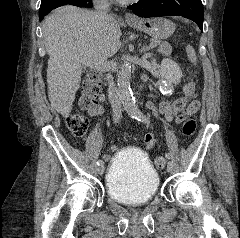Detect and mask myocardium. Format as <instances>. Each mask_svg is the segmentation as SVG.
<instances>
[{
  "label": "myocardium",
  "instance_id": "f54148a6",
  "mask_svg": "<svg viewBox=\"0 0 240 238\" xmlns=\"http://www.w3.org/2000/svg\"><path fill=\"white\" fill-rule=\"evenodd\" d=\"M139 0H123V2H126V3H131V2H137Z\"/></svg>",
  "mask_w": 240,
  "mask_h": 238
}]
</instances>
